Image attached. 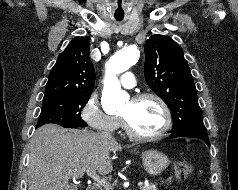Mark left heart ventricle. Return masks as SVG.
<instances>
[{
	"mask_svg": "<svg viewBox=\"0 0 238 190\" xmlns=\"http://www.w3.org/2000/svg\"><path fill=\"white\" fill-rule=\"evenodd\" d=\"M120 115L128 120L136 132L146 135L156 133L164 123L160 106L150 99L139 102L130 99L121 109Z\"/></svg>",
	"mask_w": 238,
	"mask_h": 190,
	"instance_id": "b2bd125f",
	"label": "left heart ventricle"
}]
</instances>
